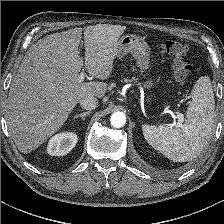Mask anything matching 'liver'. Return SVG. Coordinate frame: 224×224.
Wrapping results in <instances>:
<instances>
[{
    "label": "liver",
    "instance_id": "1",
    "mask_svg": "<svg viewBox=\"0 0 224 224\" xmlns=\"http://www.w3.org/2000/svg\"><path fill=\"white\" fill-rule=\"evenodd\" d=\"M125 26L98 24L84 29L85 61L80 56L82 28L39 39L27 51L10 85L6 121L22 153H30L56 133L86 96L102 98L103 82L80 83L83 63L97 79L110 77Z\"/></svg>",
    "mask_w": 224,
    "mask_h": 224
}]
</instances>
